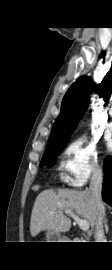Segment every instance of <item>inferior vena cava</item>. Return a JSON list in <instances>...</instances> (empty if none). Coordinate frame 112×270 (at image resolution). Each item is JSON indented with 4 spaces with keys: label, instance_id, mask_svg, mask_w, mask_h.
<instances>
[{
    "label": "inferior vena cava",
    "instance_id": "obj_1",
    "mask_svg": "<svg viewBox=\"0 0 112 270\" xmlns=\"http://www.w3.org/2000/svg\"><path fill=\"white\" fill-rule=\"evenodd\" d=\"M102 183H103V172L102 169L98 167L94 170L90 181V192L96 206V222L94 232V238L96 240L95 242H106L103 230L105 208L101 196Z\"/></svg>",
    "mask_w": 112,
    "mask_h": 270
}]
</instances>
